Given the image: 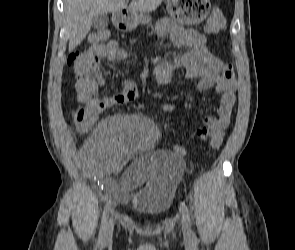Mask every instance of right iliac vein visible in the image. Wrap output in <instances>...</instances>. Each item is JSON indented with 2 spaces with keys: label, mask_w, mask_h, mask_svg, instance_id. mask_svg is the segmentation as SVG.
I'll return each mask as SVG.
<instances>
[{
  "label": "right iliac vein",
  "mask_w": 295,
  "mask_h": 250,
  "mask_svg": "<svg viewBox=\"0 0 295 250\" xmlns=\"http://www.w3.org/2000/svg\"><path fill=\"white\" fill-rule=\"evenodd\" d=\"M113 229H114V219L111 217L108 220V223L105 229V233H104L105 239H110L112 237Z\"/></svg>",
  "instance_id": "63e3f726"
}]
</instances>
